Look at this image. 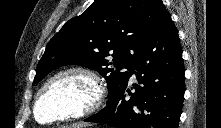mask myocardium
<instances>
[{
    "label": "myocardium",
    "mask_w": 221,
    "mask_h": 128,
    "mask_svg": "<svg viewBox=\"0 0 221 128\" xmlns=\"http://www.w3.org/2000/svg\"><path fill=\"white\" fill-rule=\"evenodd\" d=\"M65 76H74L85 81L89 87L88 98L83 102V105L78 110H68L64 113L54 116L47 121H41L38 118L37 110L43 96L54 82ZM104 97V85L100 76L94 70L85 66H70L54 73L42 84L34 100L33 115L36 121L43 125H52L58 122L78 119L96 111L101 106Z\"/></svg>",
    "instance_id": "f54148a6"
}]
</instances>
